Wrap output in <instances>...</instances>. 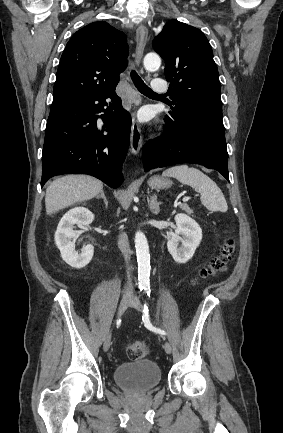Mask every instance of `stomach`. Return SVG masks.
Segmentation results:
<instances>
[{"mask_svg":"<svg viewBox=\"0 0 283 433\" xmlns=\"http://www.w3.org/2000/svg\"><path fill=\"white\" fill-rule=\"evenodd\" d=\"M148 184L152 186V188H167V186H170L171 180L162 178V176H151L150 180H148Z\"/></svg>","mask_w":283,"mask_h":433,"instance_id":"stomach-1","label":"stomach"}]
</instances>
